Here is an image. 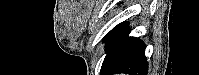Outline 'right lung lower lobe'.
Segmentation results:
<instances>
[{
    "label": "right lung lower lobe",
    "mask_w": 199,
    "mask_h": 75,
    "mask_svg": "<svg viewBox=\"0 0 199 75\" xmlns=\"http://www.w3.org/2000/svg\"><path fill=\"white\" fill-rule=\"evenodd\" d=\"M129 33L128 23H120L105 36L107 55L101 67V75H147L145 45L141 40L129 37Z\"/></svg>",
    "instance_id": "1"
}]
</instances>
